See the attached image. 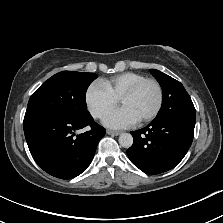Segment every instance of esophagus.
<instances>
[{"label":"esophagus","instance_id":"34e87169","mask_svg":"<svg viewBox=\"0 0 223 223\" xmlns=\"http://www.w3.org/2000/svg\"><path fill=\"white\" fill-rule=\"evenodd\" d=\"M106 133H107L108 135H114V136H118V135H120V132L113 131V130H107Z\"/></svg>","mask_w":223,"mask_h":223}]
</instances>
